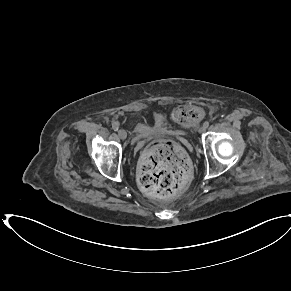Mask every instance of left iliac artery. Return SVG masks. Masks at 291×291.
<instances>
[{"mask_svg": "<svg viewBox=\"0 0 291 291\" xmlns=\"http://www.w3.org/2000/svg\"><path fill=\"white\" fill-rule=\"evenodd\" d=\"M203 125H204L205 127H208V126H209V122H208V121H205Z\"/></svg>", "mask_w": 291, "mask_h": 291, "instance_id": "left-iliac-artery-1", "label": "left iliac artery"}]
</instances>
